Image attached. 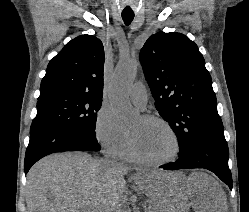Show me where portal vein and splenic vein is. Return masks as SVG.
Segmentation results:
<instances>
[{
    "mask_svg": "<svg viewBox=\"0 0 249 212\" xmlns=\"http://www.w3.org/2000/svg\"><path fill=\"white\" fill-rule=\"evenodd\" d=\"M87 210H88V212H96V210H94L93 206H88Z\"/></svg>",
    "mask_w": 249,
    "mask_h": 212,
    "instance_id": "portal-vein-and-splenic-vein-1",
    "label": "portal vein and splenic vein"
}]
</instances>
